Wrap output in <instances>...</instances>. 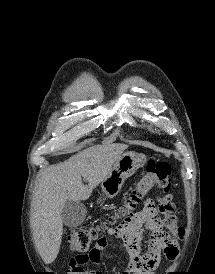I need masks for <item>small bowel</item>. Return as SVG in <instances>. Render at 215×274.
Segmentation results:
<instances>
[{"mask_svg":"<svg viewBox=\"0 0 215 274\" xmlns=\"http://www.w3.org/2000/svg\"><path fill=\"white\" fill-rule=\"evenodd\" d=\"M105 233L118 240L128 256L127 266L117 274H155L154 270L162 265L161 252L174 261L178 255L177 243L165 238L163 226L156 214L154 202L148 199L142 210L123 219L115 227L107 228ZM148 233L147 250L142 252L144 235ZM107 239L101 237L87 254H79L69 262L68 274H103L87 270L90 263L100 264L102 251Z\"/></svg>","mask_w":215,"mask_h":274,"instance_id":"obj_1","label":"small bowel"}]
</instances>
